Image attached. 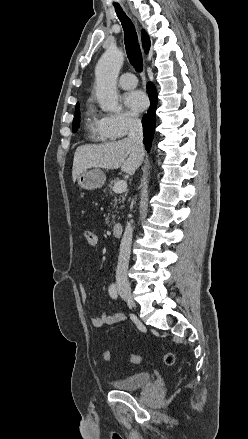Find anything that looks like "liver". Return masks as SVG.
<instances>
[{"label": "liver", "instance_id": "liver-1", "mask_svg": "<svg viewBox=\"0 0 248 439\" xmlns=\"http://www.w3.org/2000/svg\"><path fill=\"white\" fill-rule=\"evenodd\" d=\"M143 157L127 138L104 144H87L79 146L74 154L73 182L87 169H118L127 174H134L141 165Z\"/></svg>", "mask_w": 248, "mask_h": 439}]
</instances>
